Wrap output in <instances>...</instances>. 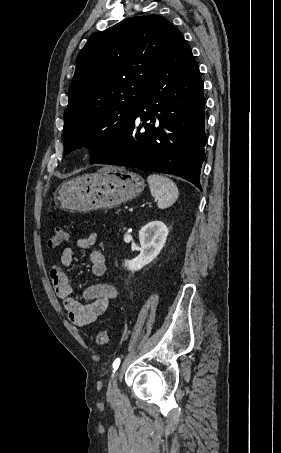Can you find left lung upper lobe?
I'll use <instances>...</instances> for the list:
<instances>
[{"label":"left lung upper lobe","mask_w":281,"mask_h":453,"mask_svg":"<svg viewBox=\"0 0 281 453\" xmlns=\"http://www.w3.org/2000/svg\"><path fill=\"white\" fill-rule=\"evenodd\" d=\"M180 32L159 15L135 16L92 36L77 57L64 113V155L86 145L91 164L131 123Z\"/></svg>","instance_id":"left-lung-upper-lobe-1"}]
</instances>
